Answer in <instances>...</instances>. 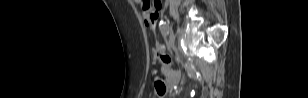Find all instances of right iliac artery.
<instances>
[{
	"label": "right iliac artery",
	"instance_id": "82829eb1",
	"mask_svg": "<svg viewBox=\"0 0 308 98\" xmlns=\"http://www.w3.org/2000/svg\"><path fill=\"white\" fill-rule=\"evenodd\" d=\"M159 28L163 36H167L169 34V28L167 23L161 21L159 24Z\"/></svg>",
	"mask_w": 308,
	"mask_h": 98
}]
</instances>
